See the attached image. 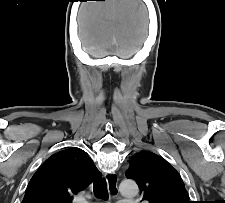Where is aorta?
I'll list each match as a JSON object with an SVG mask.
<instances>
[{
    "label": "aorta",
    "mask_w": 225,
    "mask_h": 203,
    "mask_svg": "<svg viewBox=\"0 0 225 203\" xmlns=\"http://www.w3.org/2000/svg\"><path fill=\"white\" fill-rule=\"evenodd\" d=\"M119 191L123 196H135L138 193V186L133 180H123L119 184Z\"/></svg>",
    "instance_id": "aorta-1"
}]
</instances>
